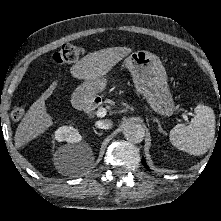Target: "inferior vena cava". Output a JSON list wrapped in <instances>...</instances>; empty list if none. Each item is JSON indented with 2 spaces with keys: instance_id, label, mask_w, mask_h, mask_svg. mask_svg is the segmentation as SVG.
<instances>
[{
  "instance_id": "602c4592",
  "label": "inferior vena cava",
  "mask_w": 221,
  "mask_h": 221,
  "mask_svg": "<svg viewBox=\"0 0 221 221\" xmlns=\"http://www.w3.org/2000/svg\"><path fill=\"white\" fill-rule=\"evenodd\" d=\"M112 125L113 122L110 119H104L95 123V126L100 129H110Z\"/></svg>"
}]
</instances>
